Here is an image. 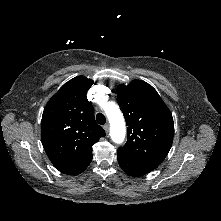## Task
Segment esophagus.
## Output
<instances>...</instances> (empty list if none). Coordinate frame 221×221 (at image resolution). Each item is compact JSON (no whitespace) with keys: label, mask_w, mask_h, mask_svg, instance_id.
I'll return each instance as SVG.
<instances>
[{"label":"esophagus","mask_w":221,"mask_h":221,"mask_svg":"<svg viewBox=\"0 0 221 221\" xmlns=\"http://www.w3.org/2000/svg\"><path fill=\"white\" fill-rule=\"evenodd\" d=\"M104 130L106 131V133L109 132V124L108 123L104 125Z\"/></svg>","instance_id":"1"}]
</instances>
